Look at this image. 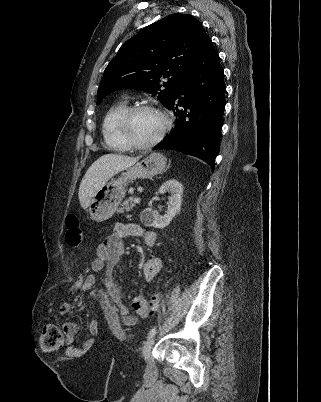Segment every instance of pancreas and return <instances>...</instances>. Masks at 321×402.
<instances>
[{
    "instance_id": "1",
    "label": "pancreas",
    "mask_w": 321,
    "mask_h": 402,
    "mask_svg": "<svg viewBox=\"0 0 321 402\" xmlns=\"http://www.w3.org/2000/svg\"><path fill=\"white\" fill-rule=\"evenodd\" d=\"M136 203L134 202L133 198L126 199L122 204L121 207L118 209V213H124L131 211L135 207Z\"/></svg>"
}]
</instances>
